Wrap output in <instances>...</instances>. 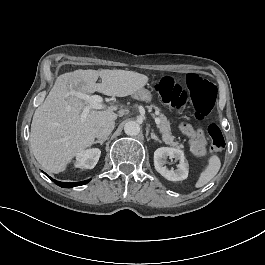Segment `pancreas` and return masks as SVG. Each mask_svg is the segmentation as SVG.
<instances>
[{"label":"pancreas","instance_id":"obj_1","mask_svg":"<svg viewBox=\"0 0 265 265\" xmlns=\"http://www.w3.org/2000/svg\"><path fill=\"white\" fill-rule=\"evenodd\" d=\"M150 107L160 112V109L155 105H151ZM158 118L160 120L159 129L160 133L162 134L163 141L172 147H176L178 149L183 148L182 144L179 145L178 142L174 141L175 137L172 136L170 122L167 120L166 116L162 113H159Z\"/></svg>","mask_w":265,"mask_h":265}]
</instances>
